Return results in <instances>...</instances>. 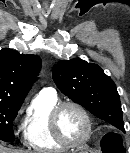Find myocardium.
<instances>
[{
    "mask_svg": "<svg viewBox=\"0 0 130 153\" xmlns=\"http://www.w3.org/2000/svg\"><path fill=\"white\" fill-rule=\"evenodd\" d=\"M65 107H74L77 110L80 111V113L83 115L85 121H86V133L84 135V137L82 138L81 141L79 142H72L69 141L68 139H66L64 137V135L62 134L60 127H59V116L61 111L65 108ZM49 125H50V129L51 132L54 136V138L63 146L67 147V148H79L84 146L90 139L91 135H92V130H93V125H92V119L90 114L88 113V111L86 110V108L81 105L78 102L75 101H63V102H59L57 105L54 106V108L51 110L50 112V116H49Z\"/></svg>",
    "mask_w": 130,
    "mask_h": 153,
    "instance_id": "obj_1",
    "label": "myocardium"
}]
</instances>
